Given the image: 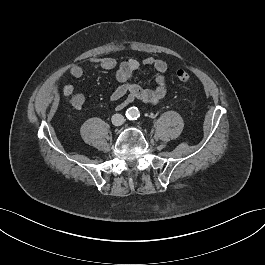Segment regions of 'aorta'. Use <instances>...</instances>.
<instances>
[{
  "mask_svg": "<svg viewBox=\"0 0 265 265\" xmlns=\"http://www.w3.org/2000/svg\"><path fill=\"white\" fill-rule=\"evenodd\" d=\"M127 115L130 116V117H137L138 115V110L134 107H131L127 110Z\"/></svg>",
  "mask_w": 265,
  "mask_h": 265,
  "instance_id": "obj_1",
  "label": "aorta"
}]
</instances>
